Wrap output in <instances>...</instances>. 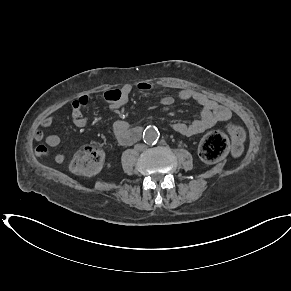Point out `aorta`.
<instances>
[{
    "instance_id": "762f6f07",
    "label": "aorta",
    "mask_w": 291,
    "mask_h": 291,
    "mask_svg": "<svg viewBox=\"0 0 291 291\" xmlns=\"http://www.w3.org/2000/svg\"><path fill=\"white\" fill-rule=\"evenodd\" d=\"M159 138L158 129L154 126H148L143 133V139L147 144L155 143Z\"/></svg>"
}]
</instances>
